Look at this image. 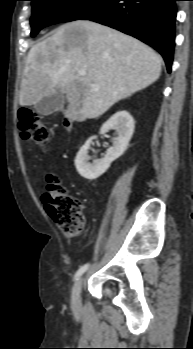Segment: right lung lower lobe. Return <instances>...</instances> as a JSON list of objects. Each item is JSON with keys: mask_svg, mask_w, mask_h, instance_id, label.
<instances>
[{"mask_svg": "<svg viewBox=\"0 0 193 349\" xmlns=\"http://www.w3.org/2000/svg\"><path fill=\"white\" fill-rule=\"evenodd\" d=\"M178 0H101L80 19L131 35L155 48L171 71Z\"/></svg>", "mask_w": 193, "mask_h": 349, "instance_id": "obj_1", "label": "right lung lower lobe"}]
</instances>
